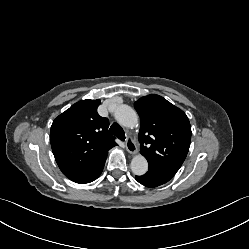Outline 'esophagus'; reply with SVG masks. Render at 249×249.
Returning <instances> with one entry per match:
<instances>
[{
    "label": "esophagus",
    "instance_id": "1",
    "mask_svg": "<svg viewBox=\"0 0 249 249\" xmlns=\"http://www.w3.org/2000/svg\"><path fill=\"white\" fill-rule=\"evenodd\" d=\"M126 150L130 154H136L137 153V146H136L135 142L133 141V139L131 137H128L126 139Z\"/></svg>",
    "mask_w": 249,
    "mask_h": 249
}]
</instances>
